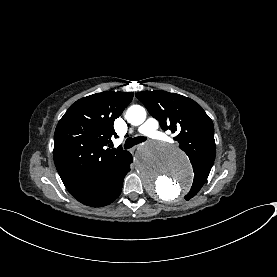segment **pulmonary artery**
Returning <instances> with one entry per match:
<instances>
[{
  "label": "pulmonary artery",
  "instance_id": "1",
  "mask_svg": "<svg viewBox=\"0 0 277 277\" xmlns=\"http://www.w3.org/2000/svg\"><path fill=\"white\" fill-rule=\"evenodd\" d=\"M142 132L148 137L155 138L157 141H163L166 138L165 131L159 127H155V123L152 120L145 121Z\"/></svg>",
  "mask_w": 277,
  "mask_h": 277
}]
</instances>
